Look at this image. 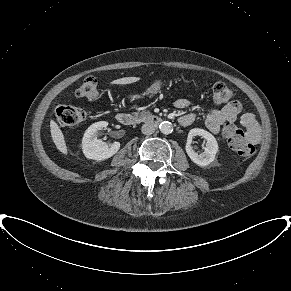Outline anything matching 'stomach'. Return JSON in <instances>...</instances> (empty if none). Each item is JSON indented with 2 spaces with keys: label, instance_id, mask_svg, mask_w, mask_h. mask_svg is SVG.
Returning a JSON list of instances; mask_svg holds the SVG:
<instances>
[{
  "label": "stomach",
  "instance_id": "obj_1",
  "mask_svg": "<svg viewBox=\"0 0 291 291\" xmlns=\"http://www.w3.org/2000/svg\"><path fill=\"white\" fill-rule=\"evenodd\" d=\"M161 90V82L160 81H155L154 83L151 84V86L147 89L146 94L147 95H154L158 93ZM141 96L136 94V95H131L130 98L132 100L134 99H139Z\"/></svg>",
  "mask_w": 291,
  "mask_h": 291
}]
</instances>
